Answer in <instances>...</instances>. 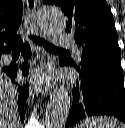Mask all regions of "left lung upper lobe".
<instances>
[{
  "label": "left lung upper lobe",
  "instance_id": "left-lung-upper-lobe-1",
  "mask_svg": "<svg viewBox=\"0 0 125 128\" xmlns=\"http://www.w3.org/2000/svg\"><path fill=\"white\" fill-rule=\"evenodd\" d=\"M61 7L67 16L66 30L82 47L81 60L64 58L84 73L96 69L121 68V51L113 15L105 0H43ZM122 69V68H121Z\"/></svg>",
  "mask_w": 125,
  "mask_h": 128
}]
</instances>
